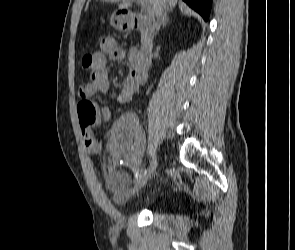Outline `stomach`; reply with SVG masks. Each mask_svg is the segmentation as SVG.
<instances>
[{
    "instance_id": "0dacf381",
    "label": "stomach",
    "mask_w": 295,
    "mask_h": 250,
    "mask_svg": "<svg viewBox=\"0 0 295 250\" xmlns=\"http://www.w3.org/2000/svg\"><path fill=\"white\" fill-rule=\"evenodd\" d=\"M111 25L117 30L123 31L125 28H127L128 23L124 15L114 13L111 17Z\"/></svg>"
}]
</instances>
